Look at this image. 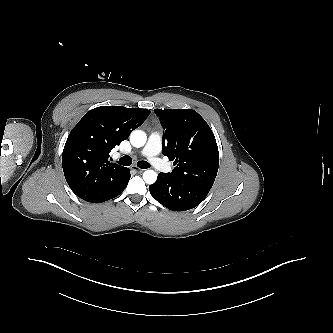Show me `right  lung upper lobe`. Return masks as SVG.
<instances>
[{
  "instance_id": "right-lung-upper-lobe-1",
  "label": "right lung upper lobe",
  "mask_w": 333,
  "mask_h": 333,
  "mask_svg": "<svg viewBox=\"0 0 333 333\" xmlns=\"http://www.w3.org/2000/svg\"><path fill=\"white\" fill-rule=\"evenodd\" d=\"M148 109L100 106L70 132L62 155L66 181L81 199L95 203L123 183L128 168L108 161L110 151L139 127Z\"/></svg>"
}]
</instances>
